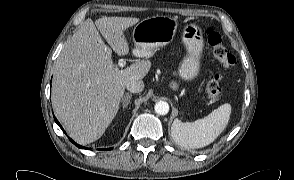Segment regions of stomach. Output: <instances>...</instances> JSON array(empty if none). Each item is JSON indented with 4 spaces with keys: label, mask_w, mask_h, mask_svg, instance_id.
I'll use <instances>...</instances> for the list:
<instances>
[{
    "label": "stomach",
    "mask_w": 294,
    "mask_h": 180,
    "mask_svg": "<svg viewBox=\"0 0 294 180\" xmlns=\"http://www.w3.org/2000/svg\"><path fill=\"white\" fill-rule=\"evenodd\" d=\"M178 28V21L169 16H153L141 20L133 29L135 54L139 57L149 56L160 46L172 42ZM182 42L187 56L179 67V75L185 80L195 78L200 70V58L203 51V33L196 24H188L182 32Z\"/></svg>",
    "instance_id": "0dacf381"
}]
</instances>
